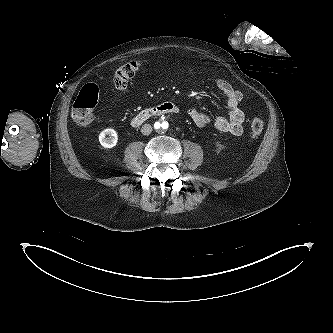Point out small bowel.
<instances>
[{"mask_svg": "<svg viewBox=\"0 0 333 333\" xmlns=\"http://www.w3.org/2000/svg\"><path fill=\"white\" fill-rule=\"evenodd\" d=\"M216 86L227 102V115L212 119L208 114L195 107H190L188 114L194 124L199 128H206L213 125V127L220 132L239 136L243 132V123L245 120L244 112L240 108L243 94L224 79H218Z\"/></svg>", "mask_w": 333, "mask_h": 333, "instance_id": "c3829d8e", "label": "small bowel"}]
</instances>
